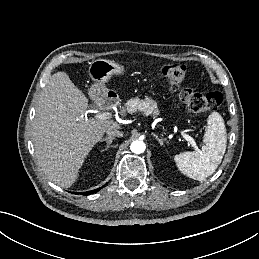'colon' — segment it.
Segmentation results:
<instances>
[{
    "label": "colon",
    "mask_w": 259,
    "mask_h": 259,
    "mask_svg": "<svg viewBox=\"0 0 259 259\" xmlns=\"http://www.w3.org/2000/svg\"><path fill=\"white\" fill-rule=\"evenodd\" d=\"M186 67L180 63L165 65L161 74L168 82L170 90L176 93L182 103L193 112H210L216 110L222 103L223 96L220 92L202 94L192 88L182 87Z\"/></svg>",
    "instance_id": "obj_1"
}]
</instances>
